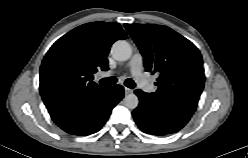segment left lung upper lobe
<instances>
[{
	"mask_svg": "<svg viewBox=\"0 0 248 158\" xmlns=\"http://www.w3.org/2000/svg\"><path fill=\"white\" fill-rule=\"evenodd\" d=\"M144 57L146 71L159 74L150 96L172 110L192 115L204 88L203 60L198 48L166 26L124 24Z\"/></svg>",
	"mask_w": 248,
	"mask_h": 158,
	"instance_id": "1",
	"label": "left lung upper lobe"
}]
</instances>
